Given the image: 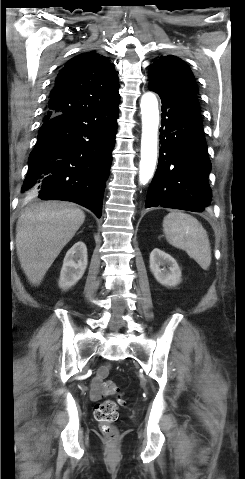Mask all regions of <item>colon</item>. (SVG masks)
<instances>
[{
	"label": "colon",
	"mask_w": 245,
	"mask_h": 479,
	"mask_svg": "<svg viewBox=\"0 0 245 479\" xmlns=\"http://www.w3.org/2000/svg\"><path fill=\"white\" fill-rule=\"evenodd\" d=\"M118 386L111 380L104 384V393L107 395L118 394ZM124 400L119 397L118 402L106 400L99 403L94 410V417L100 423L101 430L108 438L116 436L115 423L118 420V404H123Z\"/></svg>",
	"instance_id": "1"
}]
</instances>
